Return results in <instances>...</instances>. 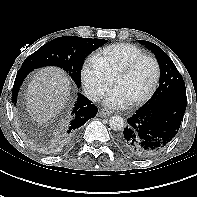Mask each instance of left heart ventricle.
Returning <instances> with one entry per match:
<instances>
[{
	"mask_svg": "<svg viewBox=\"0 0 197 197\" xmlns=\"http://www.w3.org/2000/svg\"><path fill=\"white\" fill-rule=\"evenodd\" d=\"M155 68L151 61L146 60L128 76L118 79L115 86L121 90L128 102L143 95L151 86Z\"/></svg>",
	"mask_w": 197,
	"mask_h": 197,
	"instance_id": "1",
	"label": "left heart ventricle"
}]
</instances>
